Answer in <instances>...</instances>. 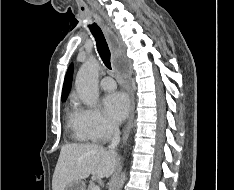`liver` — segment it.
<instances>
[{
	"label": "liver",
	"instance_id": "1",
	"mask_svg": "<svg viewBox=\"0 0 234 190\" xmlns=\"http://www.w3.org/2000/svg\"><path fill=\"white\" fill-rule=\"evenodd\" d=\"M118 165L117 154L96 144L68 143L61 147L52 179V190H65L75 180L93 175L108 178Z\"/></svg>",
	"mask_w": 234,
	"mask_h": 190
}]
</instances>
